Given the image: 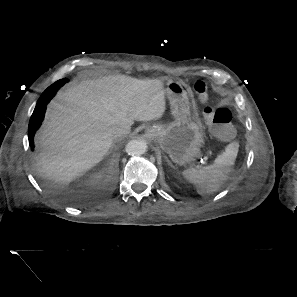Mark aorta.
<instances>
[{"label":"aorta","instance_id":"762f6f07","mask_svg":"<svg viewBox=\"0 0 297 297\" xmlns=\"http://www.w3.org/2000/svg\"><path fill=\"white\" fill-rule=\"evenodd\" d=\"M147 150V144L143 139L130 140L126 146L125 151L131 156H140Z\"/></svg>","mask_w":297,"mask_h":297}]
</instances>
